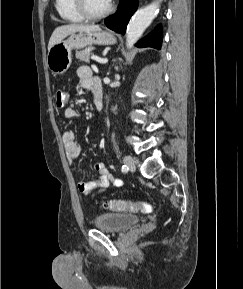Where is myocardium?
I'll return each instance as SVG.
<instances>
[{
  "label": "myocardium",
  "mask_w": 243,
  "mask_h": 289,
  "mask_svg": "<svg viewBox=\"0 0 243 289\" xmlns=\"http://www.w3.org/2000/svg\"><path fill=\"white\" fill-rule=\"evenodd\" d=\"M74 5L78 13L84 17V19H89V20H96V19H101L109 15L112 10H113V3L112 1L109 2L108 7L99 13H92L88 7H87V2L86 0H74Z\"/></svg>",
  "instance_id": "1"
}]
</instances>
